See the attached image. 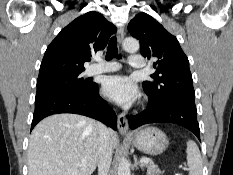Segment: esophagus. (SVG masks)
<instances>
[{"label":"esophagus","mask_w":233,"mask_h":175,"mask_svg":"<svg viewBox=\"0 0 233 175\" xmlns=\"http://www.w3.org/2000/svg\"><path fill=\"white\" fill-rule=\"evenodd\" d=\"M117 38H118L119 44H121L123 39H124V28L122 26L119 27L117 30ZM117 126H118V130L121 134L126 135L129 133L128 121H127L125 114L120 113L118 115Z\"/></svg>","instance_id":"obj_1"}]
</instances>
